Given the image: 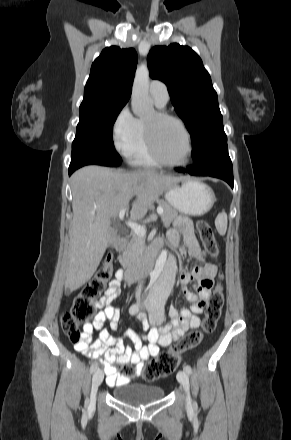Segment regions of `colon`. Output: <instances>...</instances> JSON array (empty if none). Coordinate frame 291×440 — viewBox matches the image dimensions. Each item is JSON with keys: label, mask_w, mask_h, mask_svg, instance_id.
Returning <instances> with one entry per match:
<instances>
[{"label": "colon", "mask_w": 291, "mask_h": 440, "mask_svg": "<svg viewBox=\"0 0 291 440\" xmlns=\"http://www.w3.org/2000/svg\"><path fill=\"white\" fill-rule=\"evenodd\" d=\"M197 229L201 242L206 252L217 258L219 250L215 240L212 227L203 220L197 222ZM113 267L110 260L104 261L95 277L77 295L69 311L61 316V327L63 332L73 342H82L83 333L80 327L86 324L95 312L93 300L99 297L105 289L106 284L111 279ZM206 287H210V282H205ZM224 297L221 286H217L209 296L205 306L204 329L211 332L220 316ZM202 338L201 332H193L176 344L171 345L165 352L158 355L157 359L149 361L143 368L141 374L146 381H156L163 377L173 374L179 363L180 355L184 350L199 343ZM127 375H130L125 370Z\"/></svg>", "instance_id": "1"}]
</instances>
